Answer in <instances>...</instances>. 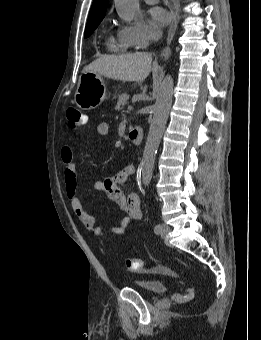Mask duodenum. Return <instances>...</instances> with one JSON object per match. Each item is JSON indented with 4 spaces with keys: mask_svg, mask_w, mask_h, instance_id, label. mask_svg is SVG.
<instances>
[{
    "mask_svg": "<svg viewBox=\"0 0 261 340\" xmlns=\"http://www.w3.org/2000/svg\"><path fill=\"white\" fill-rule=\"evenodd\" d=\"M143 131L140 127L132 128L129 131V139L135 145H140L142 142Z\"/></svg>",
    "mask_w": 261,
    "mask_h": 340,
    "instance_id": "obj_1",
    "label": "duodenum"
}]
</instances>
